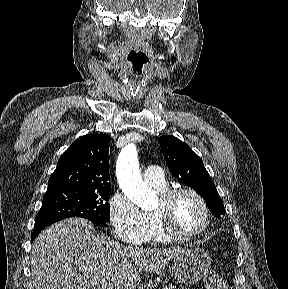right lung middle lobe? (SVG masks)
Listing matches in <instances>:
<instances>
[{"label":"right lung middle lobe","instance_id":"1","mask_svg":"<svg viewBox=\"0 0 288 289\" xmlns=\"http://www.w3.org/2000/svg\"><path fill=\"white\" fill-rule=\"evenodd\" d=\"M110 194L111 187L47 190L34 228L46 227L68 217H83L102 226L110 220V206L107 203Z\"/></svg>","mask_w":288,"mask_h":289}]
</instances>
